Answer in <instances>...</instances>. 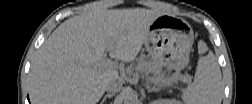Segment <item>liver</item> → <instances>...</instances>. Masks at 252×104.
Listing matches in <instances>:
<instances>
[{
  "label": "liver",
  "instance_id": "liver-1",
  "mask_svg": "<svg viewBox=\"0 0 252 104\" xmlns=\"http://www.w3.org/2000/svg\"><path fill=\"white\" fill-rule=\"evenodd\" d=\"M160 15L145 8L95 9L64 21L40 47L31 66L32 103H98L107 83L119 79L117 69L99 66L105 54L133 61Z\"/></svg>",
  "mask_w": 252,
  "mask_h": 104
}]
</instances>
